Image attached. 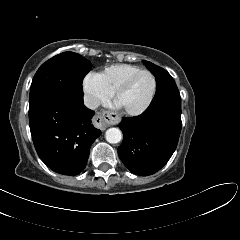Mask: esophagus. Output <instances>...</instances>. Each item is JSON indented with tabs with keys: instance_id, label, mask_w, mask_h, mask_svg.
<instances>
[{
	"instance_id": "obj_1",
	"label": "esophagus",
	"mask_w": 240,
	"mask_h": 240,
	"mask_svg": "<svg viewBox=\"0 0 240 240\" xmlns=\"http://www.w3.org/2000/svg\"><path fill=\"white\" fill-rule=\"evenodd\" d=\"M118 119V116H115L113 113L109 111H104L102 113H98L94 118V124L104 130L109 125L113 124Z\"/></svg>"
}]
</instances>
